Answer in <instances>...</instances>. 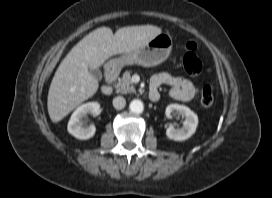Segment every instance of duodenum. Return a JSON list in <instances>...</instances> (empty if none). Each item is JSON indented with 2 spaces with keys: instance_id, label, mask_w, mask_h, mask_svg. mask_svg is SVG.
<instances>
[{
  "instance_id": "1",
  "label": "duodenum",
  "mask_w": 272,
  "mask_h": 198,
  "mask_svg": "<svg viewBox=\"0 0 272 198\" xmlns=\"http://www.w3.org/2000/svg\"><path fill=\"white\" fill-rule=\"evenodd\" d=\"M119 69L115 67H110L106 70V84L102 85L100 91L103 95H110L113 92V84L117 80L119 76ZM149 97L151 100H157L159 97V93L157 90L149 91Z\"/></svg>"
}]
</instances>
